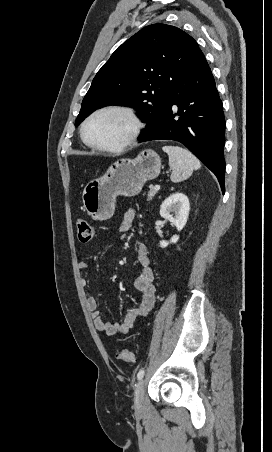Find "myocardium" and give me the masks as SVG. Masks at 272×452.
Returning <instances> with one entry per match:
<instances>
[{"mask_svg": "<svg viewBox=\"0 0 272 452\" xmlns=\"http://www.w3.org/2000/svg\"><path fill=\"white\" fill-rule=\"evenodd\" d=\"M105 112L122 113L129 119V121L131 123V129H130L129 134L127 135L125 140L118 145H102V144L93 143L90 140H88V138L86 136V129H87L89 122L97 115L105 113ZM141 130H142V122L139 119V117L137 116V114L134 112L133 109H131L127 106H123V105H106V106L100 107V108L96 109L95 111H93L84 120V122L81 126V138L86 145H88L89 147H91L93 149L105 151V152L117 153V152H121V151L127 149L128 147H130L136 141L138 136L140 135Z\"/></svg>", "mask_w": 272, "mask_h": 452, "instance_id": "1", "label": "myocardium"}]
</instances>
